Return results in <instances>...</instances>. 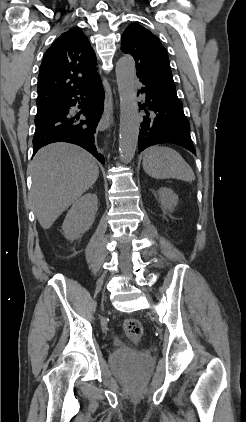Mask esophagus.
<instances>
[{
    "mask_svg": "<svg viewBox=\"0 0 246 422\" xmlns=\"http://www.w3.org/2000/svg\"><path fill=\"white\" fill-rule=\"evenodd\" d=\"M110 114H111V106L108 98H105L104 102V113L103 117L100 122L101 130H105L110 127Z\"/></svg>",
    "mask_w": 246,
    "mask_h": 422,
    "instance_id": "34e87169",
    "label": "esophagus"
}]
</instances>
